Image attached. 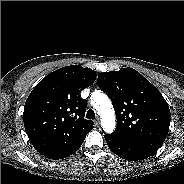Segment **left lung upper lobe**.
<instances>
[{
  "mask_svg": "<svg viewBox=\"0 0 184 184\" xmlns=\"http://www.w3.org/2000/svg\"><path fill=\"white\" fill-rule=\"evenodd\" d=\"M98 86L112 100L114 134L156 152L170 126V109L157 88L133 68L100 73Z\"/></svg>",
  "mask_w": 184,
  "mask_h": 184,
  "instance_id": "left-lung-upper-lobe-1",
  "label": "left lung upper lobe"
}]
</instances>
